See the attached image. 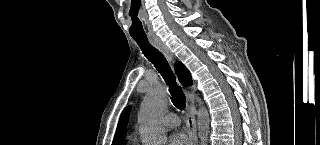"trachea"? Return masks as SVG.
Instances as JSON below:
<instances>
[{"mask_svg":"<svg viewBox=\"0 0 320 145\" xmlns=\"http://www.w3.org/2000/svg\"><path fill=\"white\" fill-rule=\"evenodd\" d=\"M144 56L154 65L161 74L172 96L173 104L180 110L185 109L186 97L182 88L177 84L176 77L164 55L148 41L147 37H133Z\"/></svg>","mask_w":320,"mask_h":145,"instance_id":"3493384b","label":"trachea"}]
</instances>
